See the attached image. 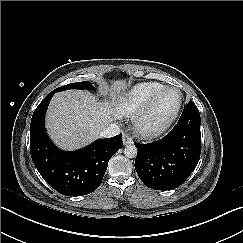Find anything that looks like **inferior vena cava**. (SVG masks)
<instances>
[{
	"mask_svg": "<svg viewBox=\"0 0 243 243\" xmlns=\"http://www.w3.org/2000/svg\"><path fill=\"white\" fill-rule=\"evenodd\" d=\"M120 133V128L116 123L110 124L105 130L100 133V137L109 138Z\"/></svg>",
	"mask_w": 243,
	"mask_h": 243,
	"instance_id": "602c4592",
	"label": "inferior vena cava"
}]
</instances>
